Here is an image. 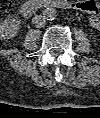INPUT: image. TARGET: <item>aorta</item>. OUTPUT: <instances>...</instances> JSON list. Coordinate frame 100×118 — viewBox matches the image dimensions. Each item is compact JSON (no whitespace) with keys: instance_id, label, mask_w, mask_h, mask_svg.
<instances>
[{"instance_id":"762f6f07","label":"aorta","mask_w":100,"mask_h":118,"mask_svg":"<svg viewBox=\"0 0 100 118\" xmlns=\"http://www.w3.org/2000/svg\"><path fill=\"white\" fill-rule=\"evenodd\" d=\"M43 16L45 17L46 20L49 21L55 20L57 17V11L53 7H47L43 11Z\"/></svg>"}]
</instances>
